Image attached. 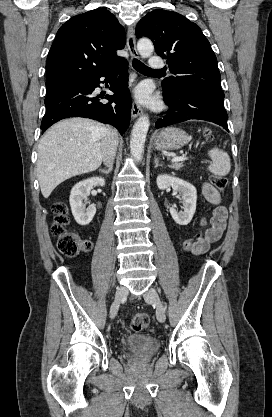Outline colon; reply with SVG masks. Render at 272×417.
Returning a JSON list of instances; mask_svg holds the SVG:
<instances>
[{
	"instance_id": "obj_1",
	"label": "colon",
	"mask_w": 272,
	"mask_h": 417,
	"mask_svg": "<svg viewBox=\"0 0 272 417\" xmlns=\"http://www.w3.org/2000/svg\"><path fill=\"white\" fill-rule=\"evenodd\" d=\"M205 136L208 141L213 140V135L211 131L206 130ZM212 186L222 192L224 191L227 180L222 176L214 175L210 178ZM54 213V222L52 225V232L57 238V245L59 251L68 257H75L82 252H88L92 244L82 239L75 233L66 231L65 227L68 223L67 217V206L63 202H56L52 207ZM204 235L202 233L197 234L195 237L185 240L181 244V248L185 252L192 251L202 240ZM148 317L143 313H136L130 318V328L133 331L139 332L147 328L148 326Z\"/></svg>"
}]
</instances>
